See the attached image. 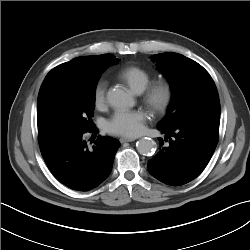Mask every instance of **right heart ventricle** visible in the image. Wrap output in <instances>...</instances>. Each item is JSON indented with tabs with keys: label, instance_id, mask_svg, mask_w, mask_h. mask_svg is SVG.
Returning a JSON list of instances; mask_svg holds the SVG:
<instances>
[{
	"label": "right heart ventricle",
	"instance_id": "e07e8e85",
	"mask_svg": "<svg viewBox=\"0 0 250 250\" xmlns=\"http://www.w3.org/2000/svg\"><path fill=\"white\" fill-rule=\"evenodd\" d=\"M118 77L137 93L144 91L152 79L151 74L139 66L123 68L119 72Z\"/></svg>",
	"mask_w": 250,
	"mask_h": 250
}]
</instances>
